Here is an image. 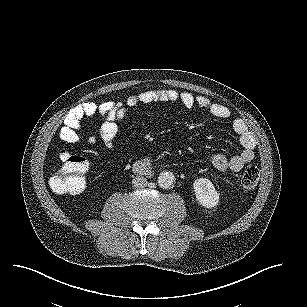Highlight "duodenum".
<instances>
[{
    "instance_id": "410a0bca",
    "label": "duodenum",
    "mask_w": 307,
    "mask_h": 307,
    "mask_svg": "<svg viewBox=\"0 0 307 307\" xmlns=\"http://www.w3.org/2000/svg\"><path fill=\"white\" fill-rule=\"evenodd\" d=\"M133 170L140 175H151L153 173L150 162L146 160L136 162L133 165Z\"/></svg>"
}]
</instances>
